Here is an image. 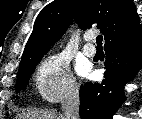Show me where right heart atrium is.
Returning <instances> with one entry per match:
<instances>
[{"label":"right heart atrium","instance_id":"right-heart-atrium-1","mask_svg":"<svg viewBox=\"0 0 142 119\" xmlns=\"http://www.w3.org/2000/svg\"><path fill=\"white\" fill-rule=\"evenodd\" d=\"M34 83L40 97L52 103L73 99L79 94L78 84L61 53L42 60L36 69Z\"/></svg>","mask_w":142,"mask_h":119}]
</instances>
